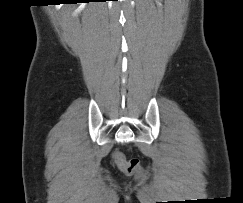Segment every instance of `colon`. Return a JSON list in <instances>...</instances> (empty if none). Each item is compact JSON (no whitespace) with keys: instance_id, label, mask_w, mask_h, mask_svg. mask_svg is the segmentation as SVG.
<instances>
[{"instance_id":"1","label":"colon","mask_w":243,"mask_h":203,"mask_svg":"<svg viewBox=\"0 0 243 203\" xmlns=\"http://www.w3.org/2000/svg\"><path fill=\"white\" fill-rule=\"evenodd\" d=\"M114 160L123 172L129 175L141 174V167L138 159L133 158L126 160L120 153H115Z\"/></svg>"}]
</instances>
